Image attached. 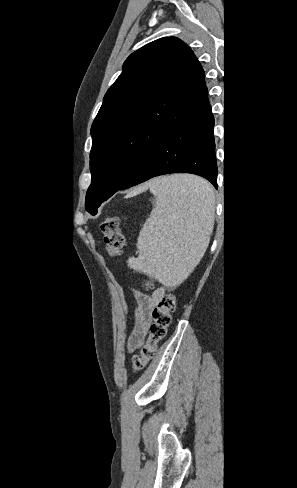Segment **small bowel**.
I'll return each mask as SVG.
<instances>
[{
	"instance_id": "c3829d8e",
	"label": "small bowel",
	"mask_w": 297,
	"mask_h": 488,
	"mask_svg": "<svg viewBox=\"0 0 297 488\" xmlns=\"http://www.w3.org/2000/svg\"><path fill=\"white\" fill-rule=\"evenodd\" d=\"M166 285H161L151 295H146L140 292L134 293L135 298V326L129 338V346L136 348L142 343L146 328L152 322V313L156 308L159 300L166 295Z\"/></svg>"
}]
</instances>
